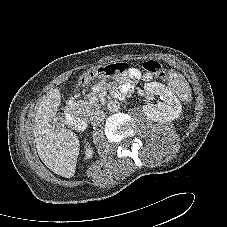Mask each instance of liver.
Wrapping results in <instances>:
<instances>
[{
    "mask_svg": "<svg viewBox=\"0 0 227 227\" xmlns=\"http://www.w3.org/2000/svg\"><path fill=\"white\" fill-rule=\"evenodd\" d=\"M61 105L58 88L51 89L43 96L34 116L33 134L38 155L42 162L54 173L66 178L74 175L79 154L77 135L66 128L54 127Z\"/></svg>",
    "mask_w": 227,
    "mask_h": 227,
    "instance_id": "1",
    "label": "liver"
}]
</instances>
